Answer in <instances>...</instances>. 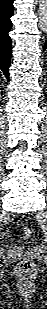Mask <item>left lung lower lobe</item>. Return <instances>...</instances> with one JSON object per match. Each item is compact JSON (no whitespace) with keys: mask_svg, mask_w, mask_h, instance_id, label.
I'll use <instances>...</instances> for the list:
<instances>
[{"mask_svg":"<svg viewBox=\"0 0 47 309\" xmlns=\"http://www.w3.org/2000/svg\"><path fill=\"white\" fill-rule=\"evenodd\" d=\"M46 49H47V41H46V43H45V45H44L43 50H46Z\"/></svg>","mask_w":47,"mask_h":309,"instance_id":"left-lung-lower-lobe-1","label":"left lung lower lobe"}]
</instances>
